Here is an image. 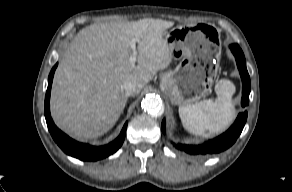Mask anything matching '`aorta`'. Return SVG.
<instances>
[{
    "instance_id": "1",
    "label": "aorta",
    "mask_w": 292,
    "mask_h": 192,
    "mask_svg": "<svg viewBox=\"0 0 292 192\" xmlns=\"http://www.w3.org/2000/svg\"><path fill=\"white\" fill-rule=\"evenodd\" d=\"M142 109L152 116H160L163 113L162 101L158 96L148 95L141 103Z\"/></svg>"
}]
</instances>
